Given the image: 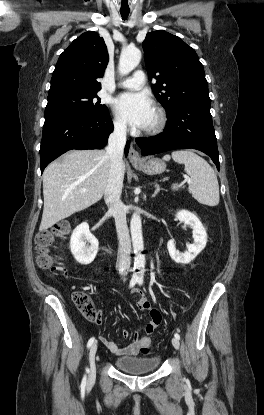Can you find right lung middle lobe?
Masks as SVG:
<instances>
[{
  "label": "right lung middle lobe",
  "mask_w": 264,
  "mask_h": 415,
  "mask_svg": "<svg viewBox=\"0 0 264 415\" xmlns=\"http://www.w3.org/2000/svg\"><path fill=\"white\" fill-rule=\"evenodd\" d=\"M108 112V108L100 104L97 91H68L48 97L44 117L49 119L69 115H99Z\"/></svg>",
  "instance_id": "right-lung-middle-lobe-1"
}]
</instances>
